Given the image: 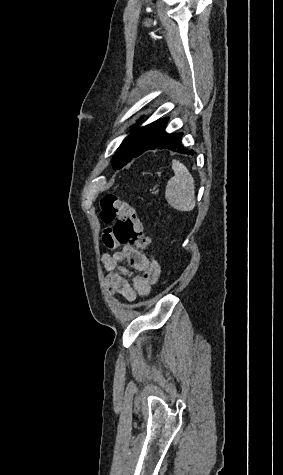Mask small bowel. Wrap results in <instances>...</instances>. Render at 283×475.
Wrapping results in <instances>:
<instances>
[{
	"mask_svg": "<svg viewBox=\"0 0 283 475\" xmlns=\"http://www.w3.org/2000/svg\"><path fill=\"white\" fill-rule=\"evenodd\" d=\"M115 221L108 220L101 226L102 244L107 248L114 249L113 253H104L101 257L105 269L106 283L109 291L116 296L122 297L127 302H133L137 297L149 294L161 274L159 261L152 256H145L143 251H137L134 244H121L114 236ZM124 261L139 273L131 272Z\"/></svg>",
	"mask_w": 283,
	"mask_h": 475,
	"instance_id": "obj_1",
	"label": "small bowel"
}]
</instances>
